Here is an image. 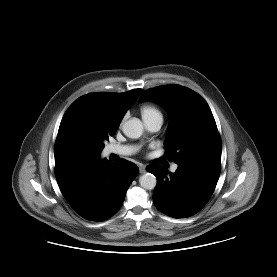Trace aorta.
<instances>
[{"label": "aorta", "instance_id": "obj_1", "mask_svg": "<svg viewBox=\"0 0 277 277\" xmlns=\"http://www.w3.org/2000/svg\"><path fill=\"white\" fill-rule=\"evenodd\" d=\"M143 129V124L138 118L129 119L122 126L124 135L132 139L139 138L143 133ZM139 183L144 189L152 190L157 184V179L153 174L146 173L140 176Z\"/></svg>", "mask_w": 277, "mask_h": 277}]
</instances>
